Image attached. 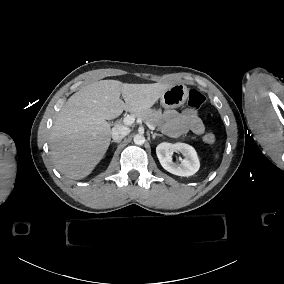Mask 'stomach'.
Returning a JSON list of instances; mask_svg holds the SVG:
<instances>
[{
  "label": "stomach",
  "instance_id": "0dacf381",
  "mask_svg": "<svg viewBox=\"0 0 284 284\" xmlns=\"http://www.w3.org/2000/svg\"><path fill=\"white\" fill-rule=\"evenodd\" d=\"M188 96L189 89L185 84H175L162 95L160 104L164 109H176L186 103Z\"/></svg>",
  "mask_w": 284,
  "mask_h": 284
}]
</instances>
